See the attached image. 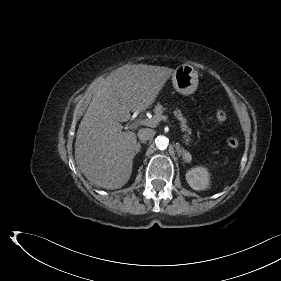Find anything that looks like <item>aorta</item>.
Listing matches in <instances>:
<instances>
[{"label":"aorta","mask_w":281,"mask_h":281,"mask_svg":"<svg viewBox=\"0 0 281 281\" xmlns=\"http://www.w3.org/2000/svg\"><path fill=\"white\" fill-rule=\"evenodd\" d=\"M155 144L156 147L160 150H164L167 148L168 144H169V139L165 136H158L155 139Z\"/></svg>","instance_id":"1"}]
</instances>
